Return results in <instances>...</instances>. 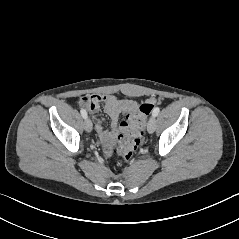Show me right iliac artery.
<instances>
[{
    "label": "right iliac artery",
    "mask_w": 239,
    "mask_h": 239,
    "mask_svg": "<svg viewBox=\"0 0 239 239\" xmlns=\"http://www.w3.org/2000/svg\"><path fill=\"white\" fill-rule=\"evenodd\" d=\"M80 112H81L82 117H83L84 119H86V118H87V112H86V110L81 109Z\"/></svg>",
    "instance_id": "82829eb1"
}]
</instances>
